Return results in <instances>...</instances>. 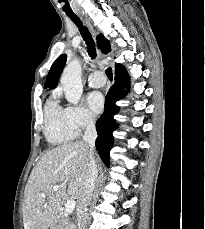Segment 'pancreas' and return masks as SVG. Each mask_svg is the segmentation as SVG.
Here are the masks:
<instances>
[{"instance_id": "cf45deb5", "label": "pancreas", "mask_w": 205, "mask_h": 229, "mask_svg": "<svg viewBox=\"0 0 205 229\" xmlns=\"http://www.w3.org/2000/svg\"><path fill=\"white\" fill-rule=\"evenodd\" d=\"M72 225L67 217L65 215L59 214L56 217L55 223L52 224L51 229H71Z\"/></svg>"}]
</instances>
